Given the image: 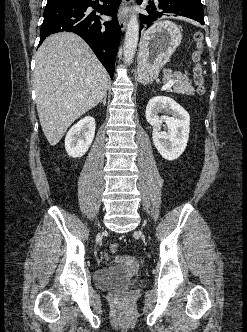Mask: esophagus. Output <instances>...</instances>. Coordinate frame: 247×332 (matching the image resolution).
Here are the masks:
<instances>
[{
    "instance_id": "1",
    "label": "esophagus",
    "mask_w": 247,
    "mask_h": 332,
    "mask_svg": "<svg viewBox=\"0 0 247 332\" xmlns=\"http://www.w3.org/2000/svg\"><path fill=\"white\" fill-rule=\"evenodd\" d=\"M131 0H122V7H127L130 4ZM119 25L121 30L124 31L127 26V18L125 15H121L119 18Z\"/></svg>"
}]
</instances>
